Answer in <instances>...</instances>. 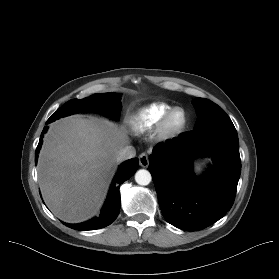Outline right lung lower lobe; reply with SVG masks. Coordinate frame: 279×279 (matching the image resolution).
Segmentation results:
<instances>
[{"instance_id": "1", "label": "right lung lower lobe", "mask_w": 279, "mask_h": 279, "mask_svg": "<svg viewBox=\"0 0 279 279\" xmlns=\"http://www.w3.org/2000/svg\"><path fill=\"white\" fill-rule=\"evenodd\" d=\"M48 124V123H46ZM48 127L45 126L41 137L39 140V144L36 148L35 154V163H37L38 153L42 145V138L45 132L47 131ZM139 165V161L137 158L130 159L124 162L118 169V172L111 184L110 191L105 202L104 207L101 210V213L98 217H95L87 222L80 223V224H66V226L76 229V230H95L106 227L110 225L118 216L119 209H120V192L119 188L120 185L128 180L134 173L137 171Z\"/></svg>"}]
</instances>
